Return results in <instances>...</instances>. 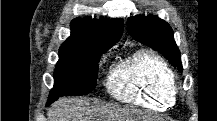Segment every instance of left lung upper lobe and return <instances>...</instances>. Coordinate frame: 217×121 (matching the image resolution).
<instances>
[{
    "mask_svg": "<svg viewBox=\"0 0 217 121\" xmlns=\"http://www.w3.org/2000/svg\"><path fill=\"white\" fill-rule=\"evenodd\" d=\"M127 27L135 40L158 51L182 72L180 51L167 22L154 15H136L128 18Z\"/></svg>",
    "mask_w": 217,
    "mask_h": 121,
    "instance_id": "left-lung-upper-lobe-1",
    "label": "left lung upper lobe"
}]
</instances>
